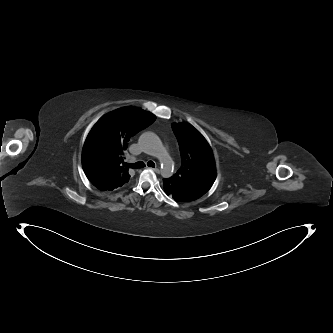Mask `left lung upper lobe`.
<instances>
[{
  "mask_svg": "<svg viewBox=\"0 0 333 333\" xmlns=\"http://www.w3.org/2000/svg\"><path fill=\"white\" fill-rule=\"evenodd\" d=\"M179 142L182 165L168 178V195L190 202L203 196L215 180L213 153L203 135L187 123L173 124Z\"/></svg>",
  "mask_w": 333,
  "mask_h": 333,
  "instance_id": "5c2ea615",
  "label": "left lung upper lobe"
}]
</instances>
